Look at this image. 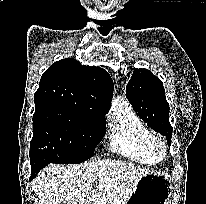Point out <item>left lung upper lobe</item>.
Listing matches in <instances>:
<instances>
[{"mask_svg":"<svg viewBox=\"0 0 206 204\" xmlns=\"http://www.w3.org/2000/svg\"><path fill=\"white\" fill-rule=\"evenodd\" d=\"M126 97L137 115L171 143L169 104L161 80L146 69H135L126 87Z\"/></svg>","mask_w":206,"mask_h":204,"instance_id":"5c2ea615","label":"left lung upper lobe"}]
</instances>
